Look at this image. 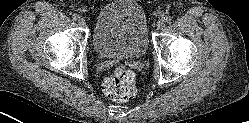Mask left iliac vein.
Segmentation results:
<instances>
[{
  "label": "left iliac vein",
  "mask_w": 249,
  "mask_h": 123,
  "mask_svg": "<svg viewBox=\"0 0 249 123\" xmlns=\"http://www.w3.org/2000/svg\"><path fill=\"white\" fill-rule=\"evenodd\" d=\"M165 27V21L164 20H159L158 22H157V29H159V30H161V29H163Z\"/></svg>",
  "instance_id": "left-iliac-vein-1"
}]
</instances>
